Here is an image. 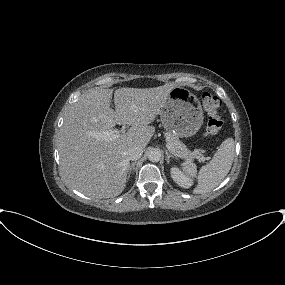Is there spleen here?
<instances>
[{
  "instance_id": "obj_1",
  "label": "spleen",
  "mask_w": 285,
  "mask_h": 285,
  "mask_svg": "<svg viewBox=\"0 0 285 285\" xmlns=\"http://www.w3.org/2000/svg\"><path fill=\"white\" fill-rule=\"evenodd\" d=\"M233 138L222 142L212 160L203 166L197 174L194 163H183V170L191 177H196L198 185L193 190L195 194H204L216 188L231 169L235 151Z\"/></svg>"
}]
</instances>
